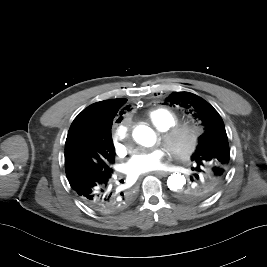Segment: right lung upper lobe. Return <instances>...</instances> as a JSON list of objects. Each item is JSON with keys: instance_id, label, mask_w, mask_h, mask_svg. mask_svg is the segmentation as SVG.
I'll return each mask as SVG.
<instances>
[{"instance_id": "cb5924a9", "label": "right lung upper lobe", "mask_w": 267, "mask_h": 267, "mask_svg": "<svg viewBox=\"0 0 267 267\" xmlns=\"http://www.w3.org/2000/svg\"><path fill=\"white\" fill-rule=\"evenodd\" d=\"M126 102V99L120 98L101 101L88 106L75 118L69 132L81 126L93 132L102 141L111 132L113 119Z\"/></svg>"}]
</instances>
